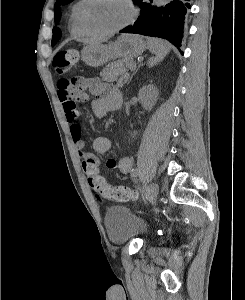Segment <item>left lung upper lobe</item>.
Returning a JSON list of instances; mask_svg holds the SVG:
<instances>
[{"label": "left lung upper lobe", "instance_id": "obj_1", "mask_svg": "<svg viewBox=\"0 0 245 300\" xmlns=\"http://www.w3.org/2000/svg\"><path fill=\"white\" fill-rule=\"evenodd\" d=\"M73 0H57L54 6L55 22L58 24L61 17V6L70 3ZM61 37V30L57 27L53 29L52 45H55Z\"/></svg>", "mask_w": 245, "mask_h": 300}]
</instances>
